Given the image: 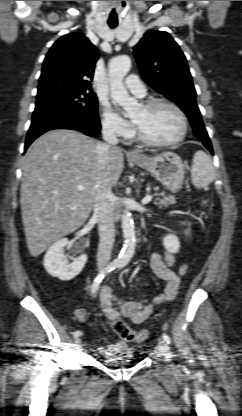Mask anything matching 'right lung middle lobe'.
Here are the masks:
<instances>
[{
	"label": "right lung middle lobe",
	"instance_id": "1",
	"mask_svg": "<svg viewBox=\"0 0 242 416\" xmlns=\"http://www.w3.org/2000/svg\"><path fill=\"white\" fill-rule=\"evenodd\" d=\"M97 106L93 92L63 88L37 96L32 119L45 113H59L90 121L98 117Z\"/></svg>",
	"mask_w": 242,
	"mask_h": 416
}]
</instances>
